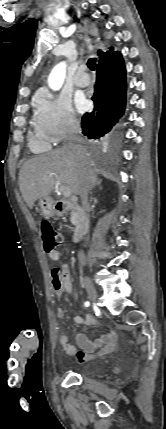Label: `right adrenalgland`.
<instances>
[{
    "label": "right adrenal gland",
    "instance_id": "1",
    "mask_svg": "<svg viewBox=\"0 0 166 429\" xmlns=\"http://www.w3.org/2000/svg\"><path fill=\"white\" fill-rule=\"evenodd\" d=\"M102 183V180H99L98 178L94 177L91 186H90V191H92V189L97 186L100 185Z\"/></svg>",
    "mask_w": 166,
    "mask_h": 429
}]
</instances>
